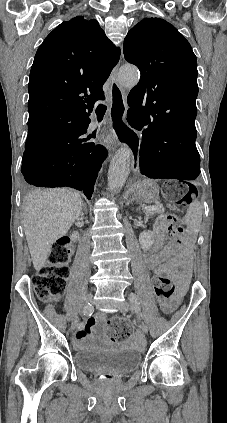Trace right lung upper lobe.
<instances>
[{
  "mask_svg": "<svg viewBox=\"0 0 227 423\" xmlns=\"http://www.w3.org/2000/svg\"><path fill=\"white\" fill-rule=\"evenodd\" d=\"M120 50L105 36L96 20L77 16L61 23L37 50L28 84V110L38 106L94 107L104 99L102 86L118 63ZM75 118L67 115L28 120L25 148L43 143Z\"/></svg>",
  "mask_w": 227,
  "mask_h": 423,
  "instance_id": "obj_1",
  "label": "right lung upper lobe"
}]
</instances>
